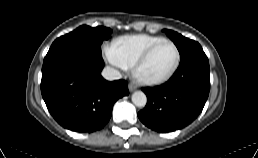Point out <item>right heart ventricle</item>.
<instances>
[{
    "label": "right heart ventricle",
    "instance_id": "e07e8e85",
    "mask_svg": "<svg viewBox=\"0 0 258 158\" xmlns=\"http://www.w3.org/2000/svg\"><path fill=\"white\" fill-rule=\"evenodd\" d=\"M162 39L148 35L128 36L116 41L113 47L123 64L132 67L147 49Z\"/></svg>",
    "mask_w": 258,
    "mask_h": 158
}]
</instances>
